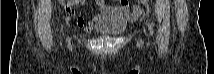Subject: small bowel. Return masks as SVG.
Segmentation results:
<instances>
[{
  "mask_svg": "<svg viewBox=\"0 0 214 74\" xmlns=\"http://www.w3.org/2000/svg\"><path fill=\"white\" fill-rule=\"evenodd\" d=\"M77 2H70L72 4L69 5V7L74 6ZM75 3V4H73ZM96 4L99 8V10L103 13H118L119 16L127 17V18H136L141 13V7L139 5L133 6V8L130 10L128 3H121L120 8L117 9L116 6H110L105 1H96ZM68 14L70 16H75V11L71 8L68 10ZM102 15L96 14L88 19H86L84 16L79 15L76 17V24L77 26L82 29L85 32H90L93 30V28L96 26V24L100 21Z\"/></svg>",
  "mask_w": 214,
  "mask_h": 74,
  "instance_id": "1",
  "label": "small bowel"
}]
</instances>
